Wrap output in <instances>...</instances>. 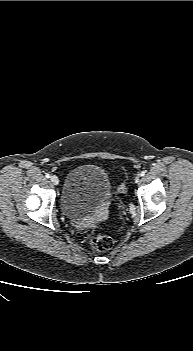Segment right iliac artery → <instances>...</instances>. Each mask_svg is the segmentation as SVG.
<instances>
[{"label":"right iliac artery","instance_id":"1","mask_svg":"<svg viewBox=\"0 0 193 351\" xmlns=\"http://www.w3.org/2000/svg\"><path fill=\"white\" fill-rule=\"evenodd\" d=\"M45 177L50 178V174L46 173Z\"/></svg>","mask_w":193,"mask_h":351}]
</instances>
